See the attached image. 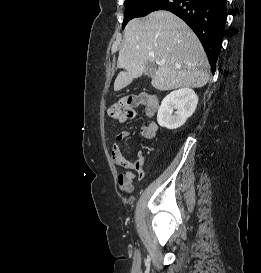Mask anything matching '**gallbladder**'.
I'll return each mask as SVG.
<instances>
[{
    "mask_svg": "<svg viewBox=\"0 0 261 273\" xmlns=\"http://www.w3.org/2000/svg\"><path fill=\"white\" fill-rule=\"evenodd\" d=\"M155 69H156V66H155L154 63L147 62L145 64V72H144V74L147 75L148 77H152L155 74Z\"/></svg>",
    "mask_w": 261,
    "mask_h": 273,
    "instance_id": "obj_1",
    "label": "gallbladder"
}]
</instances>
